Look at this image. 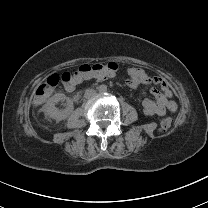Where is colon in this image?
Returning <instances> with one entry per match:
<instances>
[{"label":"colon","mask_w":208,"mask_h":208,"mask_svg":"<svg viewBox=\"0 0 208 208\" xmlns=\"http://www.w3.org/2000/svg\"><path fill=\"white\" fill-rule=\"evenodd\" d=\"M117 64L114 62H97L84 63L80 65L75 71L65 70L61 74L54 73L47 80H45L36 94V102L38 104H45L52 90L63 83L66 88L73 89L77 85V80L82 78H99L105 75L116 73ZM174 123L172 115H167L162 119L159 126V132H167Z\"/></svg>","instance_id":"1"}]
</instances>
